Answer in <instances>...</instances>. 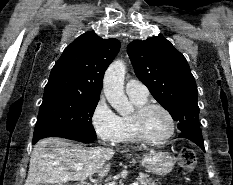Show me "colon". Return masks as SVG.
<instances>
[{
	"instance_id": "1",
	"label": "colon",
	"mask_w": 233,
	"mask_h": 185,
	"mask_svg": "<svg viewBox=\"0 0 233 185\" xmlns=\"http://www.w3.org/2000/svg\"><path fill=\"white\" fill-rule=\"evenodd\" d=\"M196 161L195 152L190 147L181 148L178 155V167L179 170L183 173H188L194 168Z\"/></svg>"
}]
</instances>
